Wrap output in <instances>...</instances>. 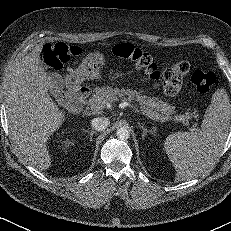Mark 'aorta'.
<instances>
[{
  "instance_id": "obj_1",
  "label": "aorta",
  "mask_w": 231,
  "mask_h": 231,
  "mask_svg": "<svg viewBox=\"0 0 231 231\" xmlns=\"http://www.w3.org/2000/svg\"><path fill=\"white\" fill-rule=\"evenodd\" d=\"M116 135L120 140H127L130 136V132L127 128L121 127L117 129Z\"/></svg>"
}]
</instances>
